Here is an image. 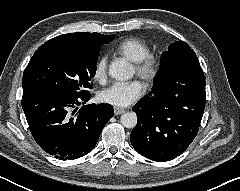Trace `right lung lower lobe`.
I'll list each match as a JSON object with an SVG mask.
<instances>
[{
	"label": "right lung lower lobe",
	"instance_id": "obj_1",
	"mask_svg": "<svg viewBox=\"0 0 240 191\" xmlns=\"http://www.w3.org/2000/svg\"><path fill=\"white\" fill-rule=\"evenodd\" d=\"M90 97L47 87H23L22 108L33 138L45 152L60 160H73L95 147L114 110L110 104L77 110Z\"/></svg>",
	"mask_w": 240,
	"mask_h": 191
}]
</instances>
